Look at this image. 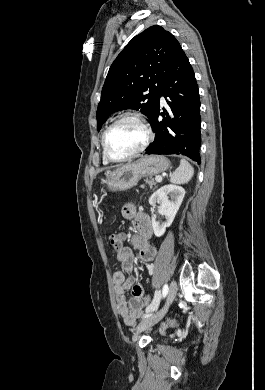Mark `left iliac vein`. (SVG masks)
<instances>
[{
	"instance_id": "1",
	"label": "left iliac vein",
	"mask_w": 265,
	"mask_h": 390,
	"mask_svg": "<svg viewBox=\"0 0 265 390\" xmlns=\"http://www.w3.org/2000/svg\"><path fill=\"white\" fill-rule=\"evenodd\" d=\"M176 294H177V283L175 281H172L170 286H169V290H168V294H167V301H166L164 308L162 310H160L158 313H156L154 316L142 321L136 327L135 335H134L135 338H137L139 333H141L142 331L146 330L147 328L153 326L154 324L158 323L164 317L169 305L175 299Z\"/></svg>"
}]
</instances>
